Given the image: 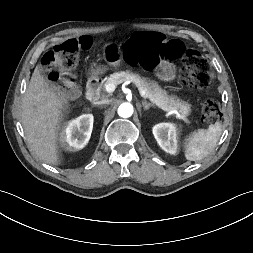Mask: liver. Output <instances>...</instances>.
Here are the masks:
<instances>
[{"label":"liver","instance_id":"obj_1","mask_svg":"<svg viewBox=\"0 0 253 253\" xmlns=\"http://www.w3.org/2000/svg\"><path fill=\"white\" fill-rule=\"evenodd\" d=\"M64 101L35 68L22 101L21 122L31 150L43 162L59 164L58 129Z\"/></svg>","mask_w":253,"mask_h":253}]
</instances>
